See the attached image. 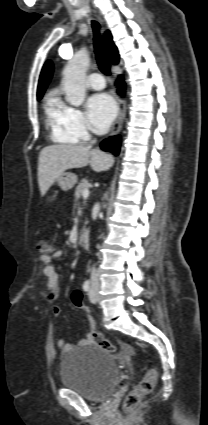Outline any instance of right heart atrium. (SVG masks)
Masks as SVG:
<instances>
[{
    "instance_id": "1",
    "label": "right heart atrium",
    "mask_w": 208,
    "mask_h": 425,
    "mask_svg": "<svg viewBox=\"0 0 208 425\" xmlns=\"http://www.w3.org/2000/svg\"><path fill=\"white\" fill-rule=\"evenodd\" d=\"M63 123L78 142H86L91 135L83 112L77 108L62 105Z\"/></svg>"
}]
</instances>
